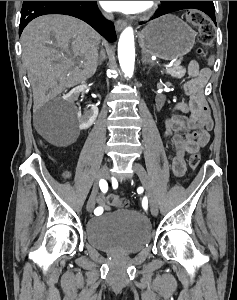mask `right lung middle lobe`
<instances>
[{"label": "right lung middle lobe", "mask_w": 237, "mask_h": 300, "mask_svg": "<svg viewBox=\"0 0 237 300\" xmlns=\"http://www.w3.org/2000/svg\"><path fill=\"white\" fill-rule=\"evenodd\" d=\"M30 2H32V1H24V3H23V4H27V3H30Z\"/></svg>", "instance_id": "1"}]
</instances>
